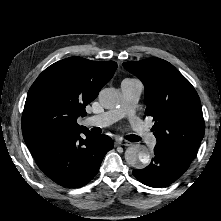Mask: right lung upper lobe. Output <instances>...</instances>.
I'll use <instances>...</instances> for the list:
<instances>
[{"label": "right lung upper lobe", "mask_w": 221, "mask_h": 221, "mask_svg": "<svg viewBox=\"0 0 221 221\" xmlns=\"http://www.w3.org/2000/svg\"><path fill=\"white\" fill-rule=\"evenodd\" d=\"M117 63L69 57L45 69L28 91L22 133L32 150L75 131L85 107L113 77Z\"/></svg>", "instance_id": "obj_1"}]
</instances>
